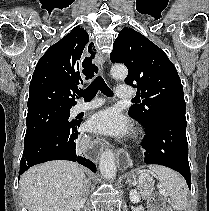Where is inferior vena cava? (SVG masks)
Wrapping results in <instances>:
<instances>
[{
	"mask_svg": "<svg viewBox=\"0 0 209 211\" xmlns=\"http://www.w3.org/2000/svg\"><path fill=\"white\" fill-rule=\"evenodd\" d=\"M84 193L87 194V180H86V183L84 185ZM83 201H85V198H83Z\"/></svg>",
	"mask_w": 209,
	"mask_h": 211,
	"instance_id": "inferior-vena-cava-1",
	"label": "inferior vena cava"
}]
</instances>
